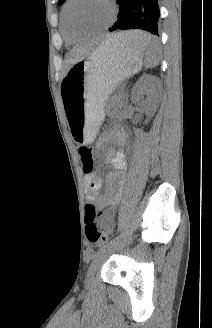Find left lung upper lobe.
<instances>
[{"mask_svg":"<svg viewBox=\"0 0 212 328\" xmlns=\"http://www.w3.org/2000/svg\"><path fill=\"white\" fill-rule=\"evenodd\" d=\"M65 2V0H59L58 5H61Z\"/></svg>","mask_w":212,"mask_h":328,"instance_id":"5c2ea615","label":"left lung upper lobe"}]
</instances>
